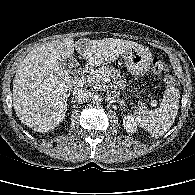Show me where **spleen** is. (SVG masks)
Wrapping results in <instances>:
<instances>
[{"mask_svg": "<svg viewBox=\"0 0 195 195\" xmlns=\"http://www.w3.org/2000/svg\"><path fill=\"white\" fill-rule=\"evenodd\" d=\"M180 92L176 87L167 88L159 108L152 111L141 110L136 117L138 124L152 137L163 136L172 126L179 109Z\"/></svg>", "mask_w": 195, "mask_h": 195, "instance_id": "spleen-1", "label": "spleen"}]
</instances>
